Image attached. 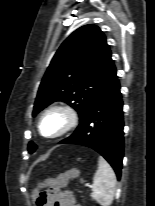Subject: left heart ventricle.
Wrapping results in <instances>:
<instances>
[{
  "label": "left heart ventricle",
  "mask_w": 155,
  "mask_h": 206,
  "mask_svg": "<svg viewBox=\"0 0 155 206\" xmlns=\"http://www.w3.org/2000/svg\"><path fill=\"white\" fill-rule=\"evenodd\" d=\"M62 125V118L59 115H51L44 121L43 132L46 135L55 133Z\"/></svg>",
  "instance_id": "b2bd125f"
}]
</instances>
